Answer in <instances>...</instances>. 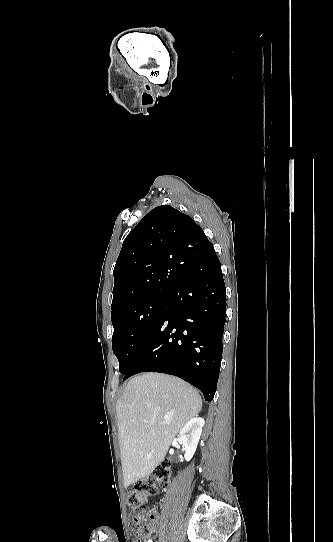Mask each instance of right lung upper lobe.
I'll use <instances>...</instances> for the list:
<instances>
[{"mask_svg":"<svg viewBox=\"0 0 333 542\" xmlns=\"http://www.w3.org/2000/svg\"><path fill=\"white\" fill-rule=\"evenodd\" d=\"M211 244L193 219L169 205L150 211L125 238L113 275L112 317L168 293L184 274L169 253Z\"/></svg>","mask_w":333,"mask_h":542,"instance_id":"right-lung-upper-lobe-1","label":"right lung upper lobe"}]
</instances>
